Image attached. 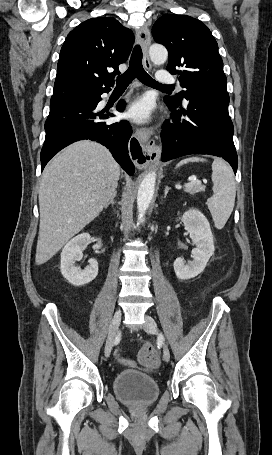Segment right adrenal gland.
<instances>
[{
	"mask_svg": "<svg viewBox=\"0 0 272 455\" xmlns=\"http://www.w3.org/2000/svg\"><path fill=\"white\" fill-rule=\"evenodd\" d=\"M117 196V191L113 193V195L110 198V201L106 204L105 208H107L109 205H114L115 204V197Z\"/></svg>",
	"mask_w": 272,
	"mask_h": 455,
	"instance_id": "right-adrenal-gland-1",
	"label": "right adrenal gland"
}]
</instances>
